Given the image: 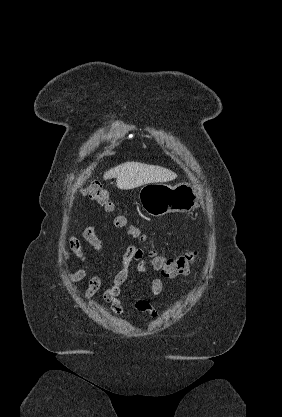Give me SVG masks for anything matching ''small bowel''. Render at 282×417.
I'll use <instances>...</instances> for the list:
<instances>
[{"instance_id": "obj_1", "label": "small bowel", "mask_w": 282, "mask_h": 417, "mask_svg": "<svg viewBox=\"0 0 282 417\" xmlns=\"http://www.w3.org/2000/svg\"><path fill=\"white\" fill-rule=\"evenodd\" d=\"M83 239L97 252L102 249V243L97 235L96 226L89 225L82 232ZM71 248L73 249L77 258L82 262V266L74 271H66V277L72 282H80L86 278L88 274V264L86 256L82 250L80 240L71 235L69 238ZM133 261L137 262V270L142 274H149L150 263L143 257V252L137 247H129L123 254L121 259V269L116 274L113 284L108 287L104 293L105 301L111 306L112 311L116 315H120L123 312L124 305L121 299V287L127 280L130 272V267ZM102 283L101 276L99 274L90 278L88 286L83 294L85 299H91L100 289ZM163 290V282L158 277L151 279V286L149 290V296L156 297L161 294ZM131 306L139 311L146 312L152 319L158 317L159 312L147 299H137L132 302Z\"/></svg>"}]
</instances>
